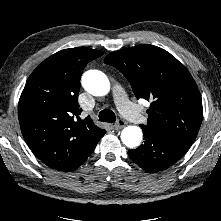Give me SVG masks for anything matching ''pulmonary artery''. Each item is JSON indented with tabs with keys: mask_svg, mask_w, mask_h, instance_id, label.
Returning <instances> with one entry per match:
<instances>
[{
	"mask_svg": "<svg viewBox=\"0 0 221 221\" xmlns=\"http://www.w3.org/2000/svg\"><path fill=\"white\" fill-rule=\"evenodd\" d=\"M113 95L115 102L120 110V112L129 120L134 123H141L143 121V116L139 109L133 105L127 98L124 90L121 86L115 85L113 87Z\"/></svg>",
	"mask_w": 221,
	"mask_h": 221,
	"instance_id": "e3ab8cb5",
	"label": "pulmonary artery"
}]
</instances>
